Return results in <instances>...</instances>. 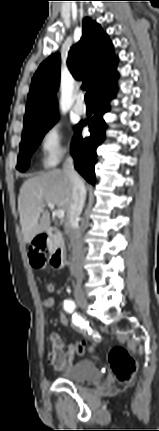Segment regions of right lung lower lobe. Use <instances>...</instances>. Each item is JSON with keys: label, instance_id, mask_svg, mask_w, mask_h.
<instances>
[{"label": "right lung lower lobe", "instance_id": "1", "mask_svg": "<svg viewBox=\"0 0 159 431\" xmlns=\"http://www.w3.org/2000/svg\"><path fill=\"white\" fill-rule=\"evenodd\" d=\"M116 79L111 80L95 93L94 115L91 119L81 121L76 126V133L71 144L75 169L92 185H95L96 148L105 139L106 123L103 115L110 110L109 102L116 93ZM83 126L90 128V137L82 138L81 129Z\"/></svg>", "mask_w": 159, "mask_h": 431}]
</instances>
